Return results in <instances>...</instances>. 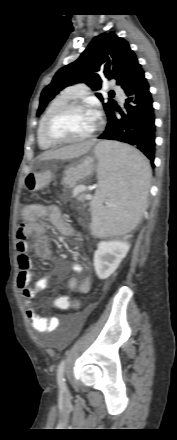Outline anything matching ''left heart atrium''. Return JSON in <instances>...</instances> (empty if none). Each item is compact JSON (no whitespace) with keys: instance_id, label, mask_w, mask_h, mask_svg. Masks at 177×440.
<instances>
[{"instance_id":"left-heart-atrium-1","label":"left heart atrium","mask_w":177,"mask_h":440,"mask_svg":"<svg viewBox=\"0 0 177 440\" xmlns=\"http://www.w3.org/2000/svg\"><path fill=\"white\" fill-rule=\"evenodd\" d=\"M91 114V117H92V121H93V123H94V125L96 124V121H97V119H98V113L97 112H92V113H90Z\"/></svg>"}]
</instances>
